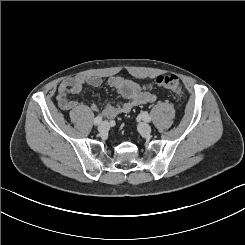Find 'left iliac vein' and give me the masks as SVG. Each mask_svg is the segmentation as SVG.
<instances>
[{"label": "left iliac vein", "instance_id": "left-iliac-vein-1", "mask_svg": "<svg viewBox=\"0 0 245 245\" xmlns=\"http://www.w3.org/2000/svg\"><path fill=\"white\" fill-rule=\"evenodd\" d=\"M139 129H140V132L144 135H149L151 132L150 126L145 122H142L139 124Z\"/></svg>", "mask_w": 245, "mask_h": 245}]
</instances>
